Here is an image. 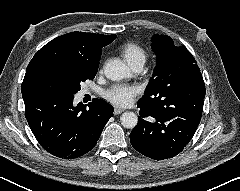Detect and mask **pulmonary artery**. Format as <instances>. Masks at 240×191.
I'll return each instance as SVG.
<instances>
[{"mask_svg":"<svg viewBox=\"0 0 240 191\" xmlns=\"http://www.w3.org/2000/svg\"><path fill=\"white\" fill-rule=\"evenodd\" d=\"M144 62L145 61H143V60H137V61L132 62L130 64V66L135 72H139L142 70Z\"/></svg>","mask_w":240,"mask_h":191,"instance_id":"e3ab8cb5","label":"pulmonary artery"}]
</instances>
